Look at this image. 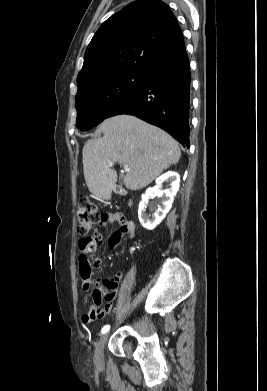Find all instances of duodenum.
<instances>
[{"mask_svg": "<svg viewBox=\"0 0 267 391\" xmlns=\"http://www.w3.org/2000/svg\"><path fill=\"white\" fill-rule=\"evenodd\" d=\"M115 190H116V192H118V193H123V190H122L120 187H116Z\"/></svg>", "mask_w": 267, "mask_h": 391, "instance_id": "410a0bca", "label": "duodenum"}]
</instances>
